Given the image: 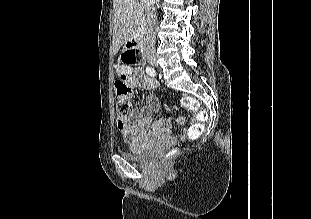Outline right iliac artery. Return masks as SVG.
Listing matches in <instances>:
<instances>
[{
    "mask_svg": "<svg viewBox=\"0 0 311 219\" xmlns=\"http://www.w3.org/2000/svg\"><path fill=\"white\" fill-rule=\"evenodd\" d=\"M146 72L147 74H149L150 76H155L156 75V72L155 70L152 68V67H146Z\"/></svg>",
    "mask_w": 311,
    "mask_h": 219,
    "instance_id": "obj_1",
    "label": "right iliac artery"
}]
</instances>
